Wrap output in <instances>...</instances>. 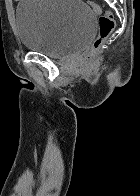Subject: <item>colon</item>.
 <instances>
[{
    "instance_id": "obj_1",
    "label": "colon",
    "mask_w": 140,
    "mask_h": 196,
    "mask_svg": "<svg viewBox=\"0 0 140 196\" xmlns=\"http://www.w3.org/2000/svg\"><path fill=\"white\" fill-rule=\"evenodd\" d=\"M88 4L98 16V34L92 47L83 59V69H87L94 64L106 39L109 37L115 26V20L111 12L104 11L98 3L88 2Z\"/></svg>"
}]
</instances>
